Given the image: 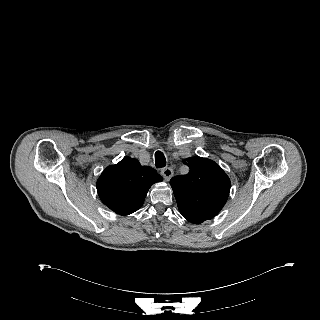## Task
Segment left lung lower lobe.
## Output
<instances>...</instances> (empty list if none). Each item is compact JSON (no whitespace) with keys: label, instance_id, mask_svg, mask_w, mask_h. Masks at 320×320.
I'll return each instance as SVG.
<instances>
[{"label":"left lung lower lobe","instance_id":"1","mask_svg":"<svg viewBox=\"0 0 320 320\" xmlns=\"http://www.w3.org/2000/svg\"><path fill=\"white\" fill-rule=\"evenodd\" d=\"M179 211L184 216V218H186L189 222H192L194 224H200L208 219V218H202V217L195 216L194 214L189 213V212L182 210V209H179Z\"/></svg>","mask_w":320,"mask_h":320}]
</instances>
